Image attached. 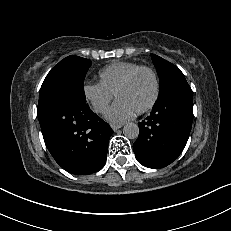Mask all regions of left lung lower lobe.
Wrapping results in <instances>:
<instances>
[{
    "mask_svg": "<svg viewBox=\"0 0 231 231\" xmlns=\"http://www.w3.org/2000/svg\"><path fill=\"white\" fill-rule=\"evenodd\" d=\"M192 91L178 82L159 94L152 113L139 122V136L133 145L143 166L159 169L172 163L184 149L192 125Z\"/></svg>",
    "mask_w": 231,
    "mask_h": 231,
    "instance_id": "1",
    "label": "left lung lower lobe"
}]
</instances>
